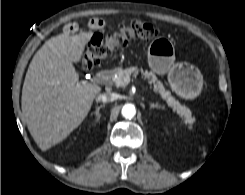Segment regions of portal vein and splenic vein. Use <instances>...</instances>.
Instances as JSON below:
<instances>
[{
	"label": "portal vein and splenic vein",
	"mask_w": 245,
	"mask_h": 195,
	"mask_svg": "<svg viewBox=\"0 0 245 195\" xmlns=\"http://www.w3.org/2000/svg\"><path fill=\"white\" fill-rule=\"evenodd\" d=\"M130 82V77L125 78V83L128 84Z\"/></svg>",
	"instance_id": "1"
}]
</instances>
